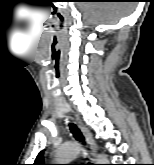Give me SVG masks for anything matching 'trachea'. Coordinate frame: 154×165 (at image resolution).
Segmentation results:
<instances>
[{
    "mask_svg": "<svg viewBox=\"0 0 154 165\" xmlns=\"http://www.w3.org/2000/svg\"><path fill=\"white\" fill-rule=\"evenodd\" d=\"M70 126V131L73 134L74 138L80 142L84 143V137L82 136L80 130L77 128V126L73 123L69 124Z\"/></svg>",
    "mask_w": 154,
    "mask_h": 165,
    "instance_id": "3493384b",
    "label": "trachea"
}]
</instances>
